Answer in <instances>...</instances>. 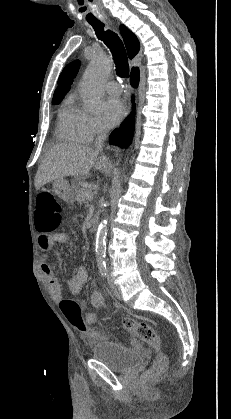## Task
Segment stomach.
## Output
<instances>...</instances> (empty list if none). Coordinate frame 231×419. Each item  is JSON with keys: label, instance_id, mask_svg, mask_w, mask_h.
<instances>
[{"label": "stomach", "instance_id": "stomach-1", "mask_svg": "<svg viewBox=\"0 0 231 419\" xmlns=\"http://www.w3.org/2000/svg\"><path fill=\"white\" fill-rule=\"evenodd\" d=\"M53 189L59 198L67 202H73L76 188L71 186L64 178L53 181Z\"/></svg>", "mask_w": 231, "mask_h": 419}]
</instances>
